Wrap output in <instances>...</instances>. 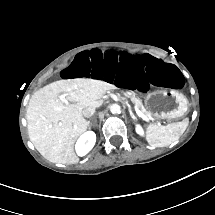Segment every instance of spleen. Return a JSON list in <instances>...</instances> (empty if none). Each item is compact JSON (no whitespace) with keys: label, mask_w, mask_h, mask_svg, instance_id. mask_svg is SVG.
I'll use <instances>...</instances> for the list:
<instances>
[{"label":"spleen","mask_w":215,"mask_h":215,"mask_svg":"<svg viewBox=\"0 0 215 215\" xmlns=\"http://www.w3.org/2000/svg\"><path fill=\"white\" fill-rule=\"evenodd\" d=\"M187 119L170 123L167 126L150 125L147 131V140L156 147L168 146L180 137V131Z\"/></svg>","instance_id":"1"}]
</instances>
